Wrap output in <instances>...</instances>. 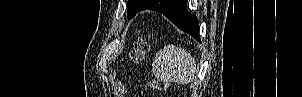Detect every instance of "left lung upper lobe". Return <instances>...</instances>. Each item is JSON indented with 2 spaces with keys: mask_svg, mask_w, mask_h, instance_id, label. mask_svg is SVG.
Listing matches in <instances>:
<instances>
[{
  "mask_svg": "<svg viewBox=\"0 0 302 97\" xmlns=\"http://www.w3.org/2000/svg\"><path fill=\"white\" fill-rule=\"evenodd\" d=\"M148 0H128V13L127 17L132 18L143 7L147 6Z\"/></svg>",
  "mask_w": 302,
  "mask_h": 97,
  "instance_id": "5c2ea615",
  "label": "left lung upper lobe"
}]
</instances>
